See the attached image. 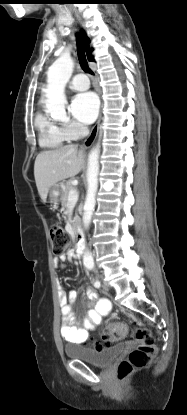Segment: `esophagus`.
<instances>
[{"label": "esophagus", "mask_w": 187, "mask_h": 415, "mask_svg": "<svg viewBox=\"0 0 187 415\" xmlns=\"http://www.w3.org/2000/svg\"><path fill=\"white\" fill-rule=\"evenodd\" d=\"M101 119H102V111L100 110L99 113V117L98 120L96 122V124L93 126L89 136L86 138V140L84 141V147H89L92 145V143L95 141L97 134H98V129H99V125L101 123Z\"/></svg>", "instance_id": "34e87169"}]
</instances>
